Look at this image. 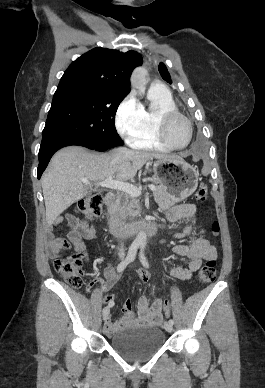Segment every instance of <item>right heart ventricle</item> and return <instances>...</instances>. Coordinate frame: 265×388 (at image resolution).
I'll list each match as a JSON object with an SVG mask.
<instances>
[{"label": "right heart ventricle", "instance_id": "e07e8e85", "mask_svg": "<svg viewBox=\"0 0 265 388\" xmlns=\"http://www.w3.org/2000/svg\"><path fill=\"white\" fill-rule=\"evenodd\" d=\"M146 97L149 98V107L143 108V128L132 140L134 147L139 149H148L155 151H167L169 148L163 144L156 132V118L163 109L174 108L176 105L169 91L160 89L159 91H147Z\"/></svg>", "mask_w": 265, "mask_h": 388}]
</instances>
